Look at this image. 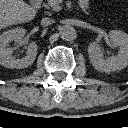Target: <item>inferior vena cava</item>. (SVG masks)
Instances as JSON below:
<instances>
[{
	"label": "inferior vena cava",
	"instance_id": "602c4592",
	"mask_svg": "<svg viewBox=\"0 0 128 128\" xmlns=\"http://www.w3.org/2000/svg\"><path fill=\"white\" fill-rule=\"evenodd\" d=\"M53 22H54L53 19L48 18V17H45V18H43V19L41 20V25H42V26H49V25H51Z\"/></svg>",
	"mask_w": 128,
	"mask_h": 128
}]
</instances>
